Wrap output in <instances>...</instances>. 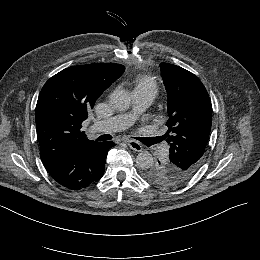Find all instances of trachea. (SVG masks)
<instances>
[{
    "label": "trachea",
    "mask_w": 260,
    "mask_h": 260,
    "mask_svg": "<svg viewBox=\"0 0 260 260\" xmlns=\"http://www.w3.org/2000/svg\"><path fill=\"white\" fill-rule=\"evenodd\" d=\"M134 139L141 141L143 144H145L146 146H151L154 145L156 143H160L162 141V137L158 136V137H133Z\"/></svg>",
    "instance_id": "3493384b"
}]
</instances>
